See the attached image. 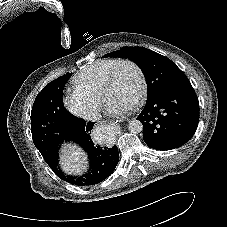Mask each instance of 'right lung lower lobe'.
<instances>
[{
    "mask_svg": "<svg viewBox=\"0 0 227 227\" xmlns=\"http://www.w3.org/2000/svg\"><path fill=\"white\" fill-rule=\"evenodd\" d=\"M93 126L94 122H86L73 116L57 134V140L51 146L50 152L43 156L45 162L60 179L78 186L94 185L105 180L115 170L119 161L118 148L117 146L100 147L94 144L90 136ZM70 141L79 144L88 153L90 167L84 175H68L59 166V149L63 142Z\"/></svg>",
    "mask_w": 227,
    "mask_h": 227,
    "instance_id": "right-lung-lower-lobe-1",
    "label": "right lung lower lobe"
}]
</instances>
